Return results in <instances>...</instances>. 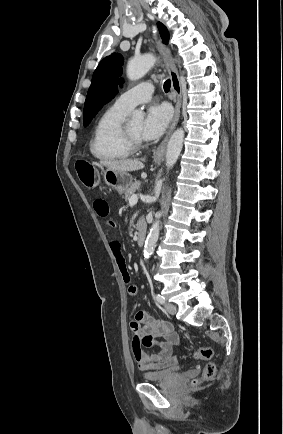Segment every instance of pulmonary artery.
<instances>
[{
	"mask_svg": "<svg viewBox=\"0 0 283 434\" xmlns=\"http://www.w3.org/2000/svg\"><path fill=\"white\" fill-rule=\"evenodd\" d=\"M153 85L149 82H142L122 93L115 101L118 108L131 110L135 106L148 102L153 94Z\"/></svg>",
	"mask_w": 283,
	"mask_h": 434,
	"instance_id": "pulmonary-artery-1",
	"label": "pulmonary artery"
}]
</instances>
